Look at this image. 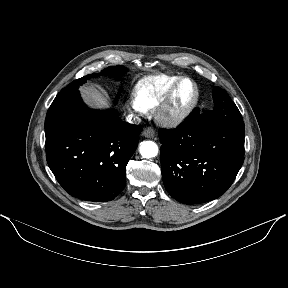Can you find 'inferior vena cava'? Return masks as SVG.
<instances>
[{"label": "inferior vena cava", "mask_w": 288, "mask_h": 288, "mask_svg": "<svg viewBox=\"0 0 288 288\" xmlns=\"http://www.w3.org/2000/svg\"><path fill=\"white\" fill-rule=\"evenodd\" d=\"M127 122L131 123V124H139L141 122V119L138 116L135 115H128L126 117Z\"/></svg>", "instance_id": "obj_1"}]
</instances>
